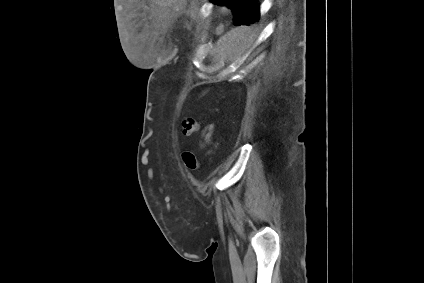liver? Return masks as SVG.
<instances>
[{
    "label": "liver",
    "mask_w": 424,
    "mask_h": 283,
    "mask_svg": "<svg viewBox=\"0 0 424 283\" xmlns=\"http://www.w3.org/2000/svg\"><path fill=\"white\" fill-rule=\"evenodd\" d=\"M235 34V32L234 31H231V32H229L228 34H227V37L226 38H224V39H230L231 37H233V35ZM240 34V32H238V35Z\"/></svg>",
    "instance_id": "1"
}]
</instances>
